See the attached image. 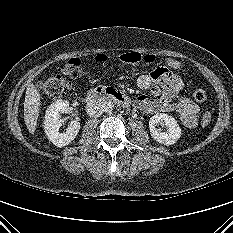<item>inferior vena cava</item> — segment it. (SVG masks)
I'll return each instance as SVG.
<instances>
[{"instance_id": "obj_1", "label": "inferior vena cava", "mask_w": 233, "mask_h": 233, "mask_svg": "<svg viewBox=\"0 0 233 233\" xmlns=\"http://www.w3.org/2000/svg\"><path fill=\"white\" fill-rule=\"evenodd\" d=\"M86 112L90 117L97 118L104 112V103L92 100L86 104Z\"/></svg>"}]
</instances>
